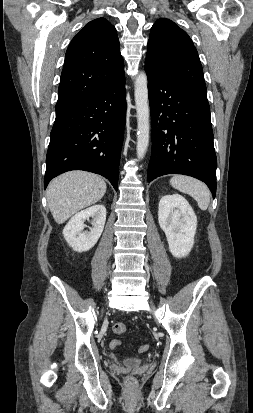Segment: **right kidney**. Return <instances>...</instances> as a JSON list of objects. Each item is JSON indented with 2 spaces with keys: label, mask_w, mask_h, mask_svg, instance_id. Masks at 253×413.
<instances>
[{
  "label": "right kidney",
  "mask_w": 253,
  "mask_h": 413,
  "mask_svg": "<svg viewBox=\"0 0 253 413\" xmlns=\"http://www.w3.org/2000/svg\"><path fill=\"white\" fill-rule=\"evenodd\" d=\"M93 218L92 228L83 232L86 219ZM106 221L104 205H94L75 214L63 229V236L74 251L90 250L100 238Z\"/></svg>",
  "instance_id": "right-kidney-1"
}]
</instances>
